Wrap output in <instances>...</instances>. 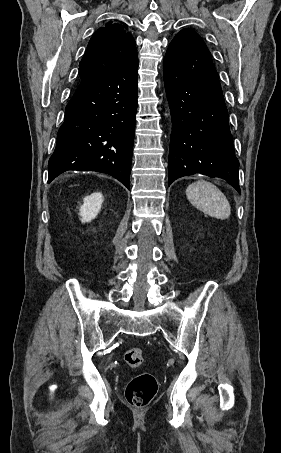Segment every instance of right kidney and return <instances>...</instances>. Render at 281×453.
Listing matches in <instances>:
<instances>
[{
	"label": "right kidney",
	"instance_id": "1",
	"mask_svg": "<svg viewBox=\"0 0 281 453\" xmlns=\"http://www.w3.org/2000/svg\"><path fill=\"white\" fill-rule=\"evenodd\" d=\"M102 202L103 194L101 192H92V194L84 196L79 212L80 216H82V222H89V220L95 218L101 208Z\"/></svg>",
	"mask_w": 281,
	"mask_h": 453
}]
</instances>
